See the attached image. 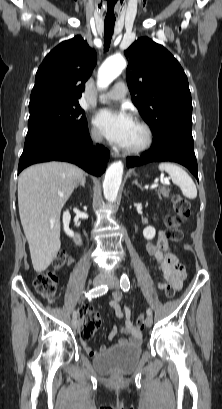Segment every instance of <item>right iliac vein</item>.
I'll use <instances>...</instances> for the list:
<instances>
[{
	"label": "right iliac vein",
	"mask_w": 222,
	"mask_h": 409,
	"mask_svg": "<svg viewBox=\"0 0 222 409\" xmlns=\"http://www.w3.org/2000/svg\"><path fill=\"white\" fill-rule=\"evenodd\" d=\"M106 282H107V278L104 275H99L93 280L94 286H100V285H103ZM72 325H73L74 328L79 327V323H78L77 319L73 318Z\"/></svg>",
	"instance_id": "obj_1"
}]
</instances>
